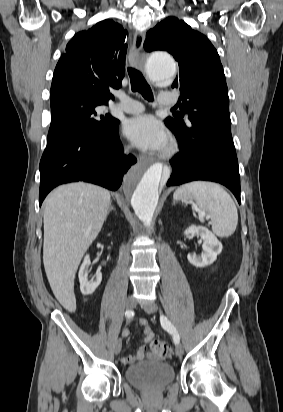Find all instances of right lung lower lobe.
I'll return each instance as SVG.
<instances>
[{"label":"right lung lower lobe","instance_id":"1","mask_svg":"<svg viewBox=\"0 0 283 412\" xmlns=\"http://www.w3.org/2000/svg\"><path fill=\"white\" fill-rule=\"evenodd\" d=\"M118 124L103 133L83 129L48 141L40 161V206L46 195L63 183L85 181L110 190L119 188L123 174L137 160L123 154Z\"/></svg>","mask_w":283,"mask_h":412}]
</instances>
